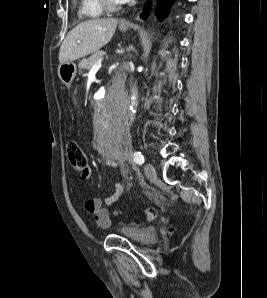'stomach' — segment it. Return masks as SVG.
<instances>
[{
  "mask_svg": "<svg viewBox=\"0 0 267 298\" xmlns=\"http://www.w3.org/2000/svg\"><path fill=\"white\" fill-rule=\"evenodd\" d=\"M121 31L125 32L128 27H119ZM77 72V66L74 62L63 63L58 66V76L62 83L65 85H71Z\"/></svg>",
  "mask_w": 267,
  "mask_h": 298,
  "instance_id": "1",
  "label": "stomach"
}]
</instances>
